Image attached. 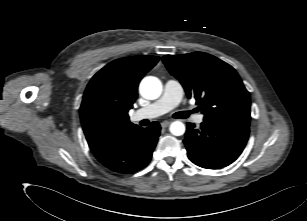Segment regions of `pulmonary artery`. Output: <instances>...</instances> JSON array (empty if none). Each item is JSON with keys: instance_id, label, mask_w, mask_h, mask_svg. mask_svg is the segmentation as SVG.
I'll use <instances>...</instances> for the list:
<instances>
[{"instance_id": "obj_1", "label": "pulmonary artery", "mask_w": 307, "mask_h": 221, "mask_svg": "<svg viewBox=\"0 0 307 221\" xmlns=\"http://www.w3.org/2000/svg\"><path fill=\"white\" fill-rule=\"evenodd\" d=\"M183 94L180 82L175 79H168L165 82L162 96L150 105L137 110L133 115V119L137 121L142 118L150 119L164 115L180 104ZM193 119L196 123L201 124L204 121V116L198 114Z\"/></svg>"}]
</instances>
